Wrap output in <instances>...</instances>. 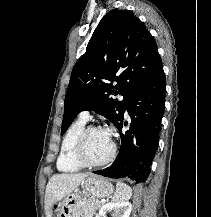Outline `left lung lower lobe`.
<instances>
[{
  "label": "left lung lower lobe",
  "instance_id": "obj_1",
  "mask_svg": "<svg viewBox=\"0 0 211 217\" xmlns=\"http://www.w3.org/2000/svg\"><path fill=\"white\" fill-rule=\"evenodd\" d=\"M165 95V73L161 66L131 94L126 107L131 122L129 130L124 134L120 133L119 153L109 167L95 171V174L110 178L127 177L136 183L147 179L158 143V134L165 109ZM123 116L116 124L120 132Z\"/></svg>",
  "mask_w": 211,
  "mask_h": 217
}]
</instances>
